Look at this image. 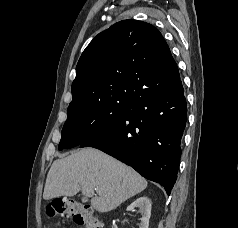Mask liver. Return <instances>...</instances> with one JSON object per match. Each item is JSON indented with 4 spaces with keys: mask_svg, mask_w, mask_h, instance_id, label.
Wrapping results in <instances>:
<instances>
[{
    "mask_svg": "<svg viewBox=\"0 0 238 228\" xmlns=\"http://www.w3.org/2000/svg\"><path fill=\"white\" fill-rule=\"evenodd\" d=\"M147 184L131 167L98 149L85 148L53 162L43 198L72 197L82 191L91 198L92 208L105 213L142 192Z\"/></svg>",
    "mask_w": 238,
    "mask_h": 228,
    "instance_id": "1",
    "label": "liver"
}]
</instances>
